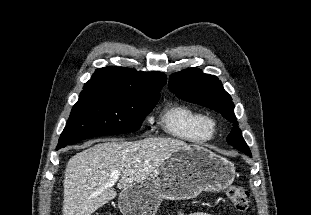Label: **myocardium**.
<instances>
[{"mask_svg":"<svg viewBox=\"0 0 311 215\" xmlns=\"http://www.w3.org/2000/svg\"><path fill=\"white\" fill-rule=\"evenodd\" d=\"M206 125L211 132H214L217 127V122L214 118L207 117Z\"/></svg>","mask_w":311,"mask_h":215,"instance_id":"f54148a6","label":"myocardium"}]
</instances>
